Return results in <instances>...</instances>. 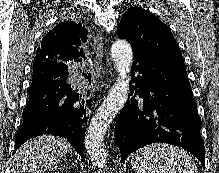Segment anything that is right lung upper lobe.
Returning <instances> with one entry per match:
<instances>
[{"label": "right lung upper lobe", "instance_id": "obj_1", "mask_svg": "<svg viewBox=\"0 0 219 173\" xmlns=\"http://www.w3.org/2000/svg\"><path fill=\"white\" fill-rule=\"evenodd\" d=\"M87 40V30L72 21H65L47 33L36 51L34 65L43 61L77 60L84 57L82 50L78 51L82 41Z\"/></svg>", "mask_w": 219, "mask_h": 173}]
</instances>
